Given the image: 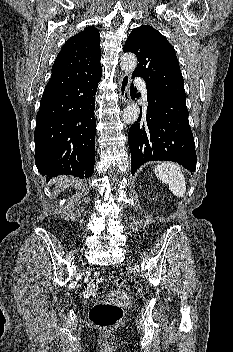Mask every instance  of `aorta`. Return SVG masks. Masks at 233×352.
<instances>
[{
    "label": "aorta",
    "instance_id": "obj_1",
    "mask_svg": "<svg viewBox=\"0 0 233 352\" xmlns=\"http://www.w3.org/2000/svg\"><path fill=\"white\" fill-rule=\"evenodd\" d=\"M121 69L127 73L131 74L137 66V58L133 53H125L121 57L120 63ZM140 109L138 104L131 103L127 105L122 114V120L126 124H133L137 121L139 117Z\"/></svg>",
    "mask_w": 233,
    "mask_h": 352
}]
</instances>
